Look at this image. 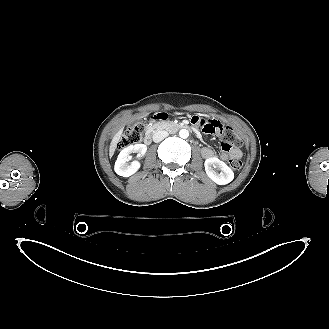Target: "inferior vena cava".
I'll return each instance as SVG.
<instances>
[{
	"mask_svg": "<svg viewBox=\"0 0 329 329\" xmlns=\"http://www.w3.org/2000/svg\"><path fill=\"white\" fill-rule=\"evenodd\" d=\"M168 135H169V133L167 131H164V130L156 131L153 134V141L155 143H158V142L162 141L164 138H166Z\"/></svg>",
	"mask_w": 329,
	"mask_h": 329,
	"instance_id": "602c4592",
	"label": "inferior vena cava"
}]
</instances>
